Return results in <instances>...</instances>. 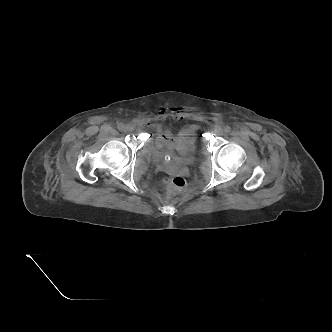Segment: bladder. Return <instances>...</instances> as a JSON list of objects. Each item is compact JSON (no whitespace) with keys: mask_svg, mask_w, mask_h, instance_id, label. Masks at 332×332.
Returning <instances> with one entry per match:
<instances>
[{"mask_svg":"<svg viewBox=\"0 0 332 332\" xmlns=\"http://www.w3.org/2000/svg\"><path fill=\"white\" fill-rule=\"evenodd\" d=\"M148 147L152 153L153 158L160 164H166V157L172 159L177 158L181 163H187L194 158L198 151V144L196 141L185 145L182 149H175V151H165L154 148L151 144Z\"/></svg>","mask_w":332,"mask_h":332,"instance_id":"bladder-1","label":"bladder"}]
</instances>
